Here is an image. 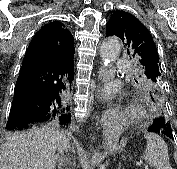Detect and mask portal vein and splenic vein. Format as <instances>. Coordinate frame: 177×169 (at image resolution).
Here are the masks:
<instances>
[{"instance_id": "portal-vein-and-splenic-vein-1", "label": "portal vein and splenic vein", "mask_w": 177, "mask_h": 169, "mask_svg": "<svg viewBox=\"0 0 177 169\" xmlns=\"http://www.w3.org/2000/svg\"><path fill=\"white\" fill-rule=\"evenodd\" d=\"M145 169H149V166H148V165H145Z\"/></svg>"}]
</instances>
